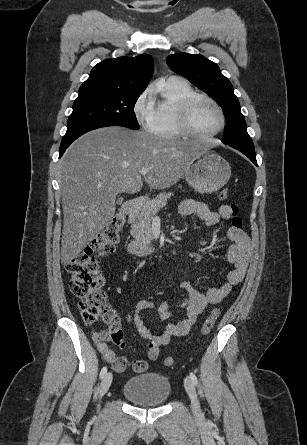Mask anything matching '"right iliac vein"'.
<instances>
[{
	"label": "right iliac vein",
	"mask_w": 307,
	"mask_h": 445,
	"mask_svg": "<svg viewBox=\"0 0 307 445\" xmlns=\"http://www.w3.org/2000/svg\"><path fill=\"white\" fill-rule=\"evenodd\" d=\"M111 383H112V373L109 372L103 377L101 385H100V396L101 397L103 395H105L106 392L109 390Z\"/></svg>",
	"instance_id": "right-iliac-vein-1"
}]
</instances>
